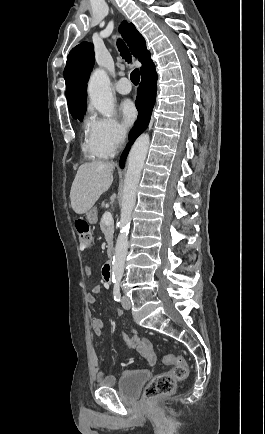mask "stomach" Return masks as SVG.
<instances>
[{
  "label": "stomach",
  "mask_w": 265,
  "mask_h": 434,
  "mask_svg": "<svg viewBox=\"0 0 265 434\" xmlns=\"http://www.w3.org/2000/svg\"><path fill=\"white\" fill-rule=\"evenodd\" d=\"M86 216H87L88 222H91V224H93V222H96V220H97L96 208H93V210H90V212H87Z\"/></svg>",
  "instance_id": "1"
}]
</instances>
